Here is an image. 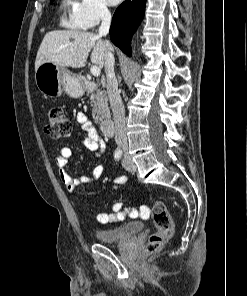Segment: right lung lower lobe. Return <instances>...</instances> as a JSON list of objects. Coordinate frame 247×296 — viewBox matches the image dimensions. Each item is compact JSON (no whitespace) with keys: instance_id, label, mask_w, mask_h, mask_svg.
<instances>
[{"instance_id":"obj_1","label":"right lung lower lobe","mask_w":247,"mask_h":296,"mask_svg":"<svg viewBox=\"0 0 247 296\" xmlns=\"http://www.w3.org/2000/svg\"><path fill=\"white\" fill-rule=\"evenodd\" d=\"M146 0H126L116 10L110 27V39L126 55H131L130 40L145 12Z\"/></svg>"}]
</instances>
